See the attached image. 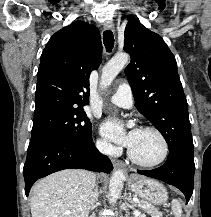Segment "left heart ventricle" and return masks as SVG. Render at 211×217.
Listing matches in <instances>:
<instances>
[{
	"label": "left heart ventricle",
	"mask_w": 211,
	"mask_h": 217,
	"mask_svg": "<svg viewBox=\"0 0 211 217\" xmlns=\"http://www.w3.org/2000/svg\"><path fill=\"white\" fill-rule=\"evenodd\" d=\"M130 150L137 159L143 162H154L161 157L163 144L156 133L138 130Z\"/></svg>",
	"instance_id": "obj_1"
}]
</instances>
